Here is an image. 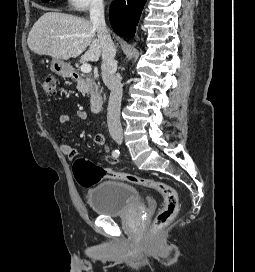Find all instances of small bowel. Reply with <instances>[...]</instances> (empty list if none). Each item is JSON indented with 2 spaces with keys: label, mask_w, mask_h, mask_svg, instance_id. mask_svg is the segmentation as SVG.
Instances as JSON below:
<instances>
[{
  "label": "small bowel",
  "mask_w": 255,
  "mask_h": 272,
  "mask_svg": "<svg viewBox=\"0 0 255 272\" xmlns=\"http://www.w3.org/2000/svg\"><path fill=\"white\" fill-rule=\"evenodd\" d=\"M75 116L80 121H86L87 117H88L87 113L84 110H78L75 113ZM58 122L60 124H68L70 122V116L67 114H60L58 116ZM55 140L59 146L60 151L65 156H67L69 159H74L76 157L77 150L74 147H72L71 145L65 143V137L62 133L57 132L55 134ZM94 142L97 145L102 146L104 148L106 154H108V147L106 144V138L103 134H101V133L96 134L94 136ZM107 160H109L110 162H114V159L111 158L109 155H107Z\"/></svg>",
  "instance_id": "obj_1"
}]
</instances>
